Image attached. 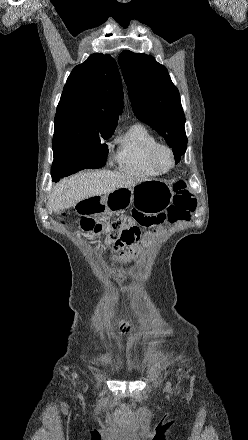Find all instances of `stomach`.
Wrapping results in <instances>:
<instances>
[{
  "mask_svg": "<svg viewBox=\"0 0 248 440\" xmlns=\"http://www.w3.org/2000/svg\"><path fill=\"white\" fill-rule=\"evenodd\" d=\"M172 195L171 186L162 181L147 180L134 187L119 188L105 195L88 198L90 204L75 206L79 217L74 219L75 230L96 237L98 232L108 231V224L102 223V220L108 218L109 213L130 207L138 198L141 208L158 213L170 205Z\"/></svg>",
  "mask_w": 248,
  "mask_h": 440,
  "instance_id": "1",
  "label": "stomach"
}]
</instances>
